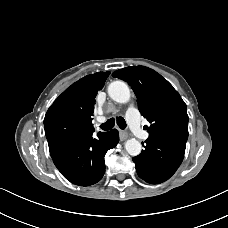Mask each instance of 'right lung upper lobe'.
<instances>
[{
  "label": "right lung upper lobe",
  "instance_id": "1",
  "mask_svg": "<svg viewBox=\"0 0 228 228\" xmlns=\"http://www.w3.org/2000/svg\"><path fill=\"white\" fill-rule=\"evenodd\" d=\"M109 74L110 72H98L73 83L50 106L44 122L60 117H71L78 122L80 132H93L95 98Z\"/></svg>",
  "mask_w": 228,
  "mask_h": 228
}]
</instances>
